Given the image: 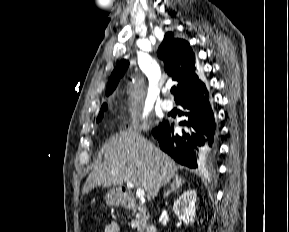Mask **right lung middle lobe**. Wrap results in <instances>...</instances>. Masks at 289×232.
I'll list each match as a JSON object with an SVG mask.
<instances>
[{"mask_svg": "<svg viewBox=\"0 0 289 232\" xmlns=\"http://www.w3.org/2000/svg\"><path fill=\"white\" fill-rule=\"evenodd\" d=\"M107 109V105H103L100 112H99V115H98V118H97V121H100L103 117V111Z\"/></svg>", "mask_w": 289, "mask_h": 232, "instance_id": "1", "label": "right lung middle lobe"}]
</instances>
